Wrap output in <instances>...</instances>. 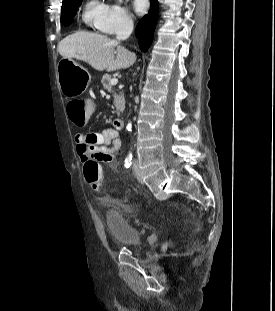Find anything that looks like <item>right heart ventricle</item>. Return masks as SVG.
<instances>
[{
  "instance_id": "e07e8e85",
  "label": "right heart ventricle",
  "mask_w": 275,
  "mask_h": 311,
  "mask_svg": "<svg viewBox=\"0 0 275 311\" xmlns=\"http://www.w3.org/2000/svg\"><path fill=\"white\" fill-rule=\"evenodd\" d=\"M107 5L101 0H87L82 10L83 23L93 29H97V25L101 17L103 16Z\"/></svg>"
}]
</instances>
